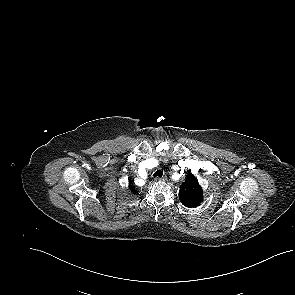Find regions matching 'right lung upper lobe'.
Listing matches in <instances>:
<instances>
[{
	"instance_id": "cb5924a9",
	"label": "right lung upper lobe",
	"mask_w": 295,
	"mask_h": 295,
	"mask_svg": "<svg viewBox=\"0 0 295 295\" xmlns=\"http://www.w3.org/2000/svg\"><path fill=\"white\" fill-rule=\"evenodd\" d=\"M131 182H132V181L129 180V188L131 189V191H132L134 194H136L137 191L135 190V188L132 187Z\"/></svg>"
}]
</instances>
